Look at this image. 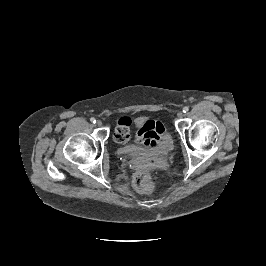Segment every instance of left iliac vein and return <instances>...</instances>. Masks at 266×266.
<instances>
[{"label": "left iliac vein", "instance_id": "left-iliac-vein-1", "mask_svg": "<svg viewBox=\"0 0 266 266\" xmlns=\"http://www.w3.org/2000/svg\"><path fill=\"white\" fill-rule=\"evenodd\" d=\"M177 117L180 118V119L183 118V117H184L183 112H181V111L178 112V113H177Z\"/></svg>", "mask_w": 266, "mask_h": 266}]
</instances>
